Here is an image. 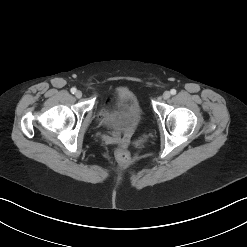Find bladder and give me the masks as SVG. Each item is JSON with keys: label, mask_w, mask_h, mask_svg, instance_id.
<instances>
[{"label": "bladder", "mask_w": 247, "mask_h": 247, "mask_svg": "<svg viewBox=\"0 0 247 247\" xmlns=\"http://www.w3.org/2000/svg\"><path fill=\"white\" fill-rule=\"evenodd\" d=\"M114 109L105 114L102 125L116 132H128L141 125L144 111L136 94L129 88H120L114 94Z\"/></svg>", "instance_id": "31cf9c89"}]
</instances>
